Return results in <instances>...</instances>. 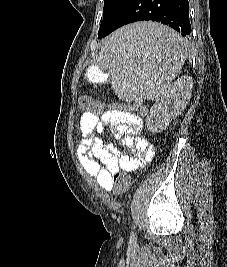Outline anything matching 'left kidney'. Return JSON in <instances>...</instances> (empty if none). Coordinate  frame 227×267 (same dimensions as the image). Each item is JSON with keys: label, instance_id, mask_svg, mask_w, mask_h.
Here are the masks:
<instances>
[{"label": "left kidney", "instance_id": "left-kidney-1", "mask_svg": "<svg viewBox=\"0 0 227 267\" xmlns=\"http://www.w3.org/2000/svg\"><path fill=\"white\" fill-rule=\"evenodd\" d=\"M193 88L190 76L178 78L150 109L146 119L147 130L159 133L166 129L170 122L185 109Z\"/></svg>", "mask_w": 227, "mask_h": 267}]
</instances>
